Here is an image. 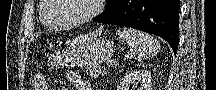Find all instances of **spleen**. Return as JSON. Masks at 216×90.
I'll list each match as a JSON object with an SVG mask.
<instances>
[{"instance_id":"obj_1","label":"spleen","mask_w":216,"mask_h":90,"mask_svg":"<svg viewBox=\"0 0 216 90\" xmlns=\"http://www.w3.org/2000/svg\"><path fill=\"white\" fill-rule=\"evenodd\" d=\"M117 36L127 42L130 48V54L135 60H147L151 56H156L160 46L153 36L133 30V28H118Z\"/></svg>"}]
</instances>
